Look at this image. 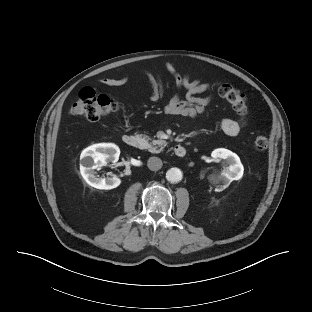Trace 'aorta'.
<instances>
[{"label": "aorta", "mask_w": 312, "mask_h": 312, "mask_svg": "<svg viewBox=\"0 0 312 312\" xmlns=\"http://www.w3.org/2000/svg\"><path fill=\"white\" fill-rule=\"evenodd\" d=\"M182 172L179 168H170L166 172V179L171 183H178L182 180Z\"/></svg>", "instance_id": "1"}]
</instances>
